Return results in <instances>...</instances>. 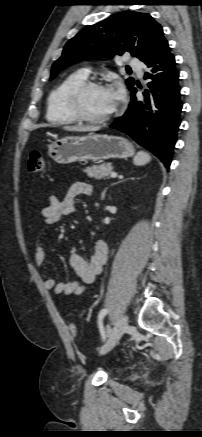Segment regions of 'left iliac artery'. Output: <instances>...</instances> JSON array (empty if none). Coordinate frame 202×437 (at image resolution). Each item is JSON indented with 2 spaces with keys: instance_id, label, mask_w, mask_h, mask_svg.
<instances>
[{
  "instance_id": "1",
  "label": "left iliac artery",
  "mask_w": 202,
  "mask_h": 437,
  "mask_svg": "<svg viewBox=\"0 0 202 437\" xmlns=\"http://www.w3.org/2000/svg\"><path fill=\"white\" fill-rule=\"evenodd\" d=\"M107 313H108V309H102L99 312V315H98V326H99V330H100V333H101V336H102L103 340L106 339V333H105V330H104V327H103L102 320H103V318L105 317V315Z\"/></svg>"
}]
</instances>
